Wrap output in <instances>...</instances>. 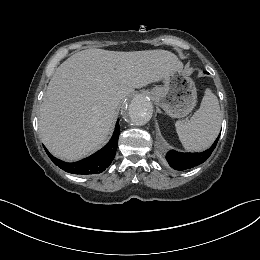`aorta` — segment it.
<instances>
[{
    "label": "aorta",
    "instance_id": "1",
    "mask_svg": "<svg viewBox=\"0 0 260 260\" xmlns=\"http://www.w3.org/2000/svg\"><path fill=\"white\" fill-rule=\"evenodd\" d=\"M152 104L146 96L134 97L128 106V121L134 126H143L152 116Z\"/></svg>",
    "mask_w": 260,
    "mask_h": 260
}]
</instances>
